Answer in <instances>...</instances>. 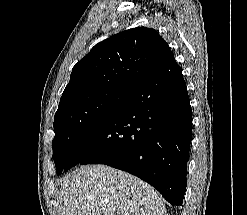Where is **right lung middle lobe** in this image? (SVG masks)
Wrapping results in <instances>:
<instances>
[{
  "label": "right lung middle lobe",
  "instance_id": "right-lung-middle-lobe-1",
  "mask_svg": "<svg viewBox=\"0 0 247 215\" xmlns=\"http://www.w3.org/2000/svg\"><path fill=\"white\" fill-rule=\"evenodd\" d=\"M132 92L115 89L70 92L60 99L54 119L53 160L57 174L70 168L68 156L89 130L116 114Z\"/></svg>",
  "mask_w": 247,
  "mask_h": 215
}]
</instances>
